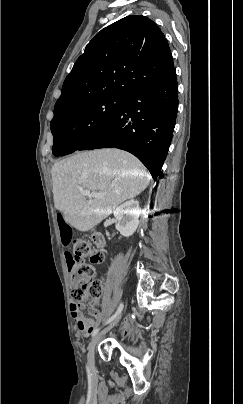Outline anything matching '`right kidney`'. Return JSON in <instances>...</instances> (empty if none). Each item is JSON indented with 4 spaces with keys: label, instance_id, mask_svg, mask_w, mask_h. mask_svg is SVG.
Instances as JSON below:
<instances>
[{
    "label": "right kidney",
    "instance_id": "ca27d5eb",
    "mask_svg": "<svg viewBox=\"0 0 243 404\" xmlns=\"http://www.w3.org/2000/svg\"><path fill=\"white\" fill-rule=\"evenodd\" d=\"M141 214V208H139L138 202L130 200L125 202L119 208H116L114 212L116 220V230L122 234V236H132L136 232L139 226V216Z\"/></svg>",
    "mask_w": 243,
    "mask_h": 404
}]
</instances>
